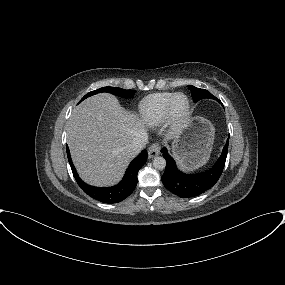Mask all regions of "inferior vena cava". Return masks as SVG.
<instances>
[{"instance_id":"inferior-vena-cava-1","label":"inferior vena cava","mask_w":285,"mask_h":285,"mask_svg":"<svg viewBox=\"0 0 285 285\" xmlns=\"http://www.w3.org/2000/svg\"><path fill=\"white\" fill-rule=\"evenodd\" d=\"M148 143V134L145 131L140 132L132 141L130 149L134 153L140 152Z\"/></svg>"}]
</instances>
